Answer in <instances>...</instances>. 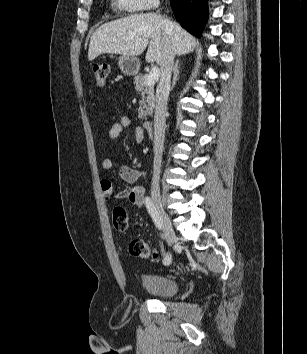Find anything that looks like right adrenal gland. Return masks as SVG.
I'll list each match as a JSON object with an SVG mask.
<instances>
[{"mask_svg":"<svg viewBox=\"0 0 307 354\" xmlns=\"http://www.w3.org/2000/svg\"><path fill=\"white\" fill-rule=\"evenodd\" d=\"M179 79V60H176L175 65L173 67V80L171 89L174 88L176 81Z\"/></svg>","mask_w":307,"mask_h":354,"instance_id":"2a0ac1e0","label":"right adrenal gland"}]
</instances>
